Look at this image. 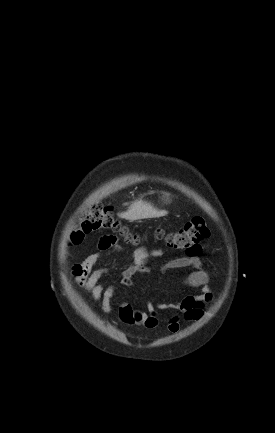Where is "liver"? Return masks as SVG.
I'll return each instance as SVG.
<instances>
[{
  "mask_svg": "<svg viewBox=\"0 0 275 433\" xmlns=\"http://www.w3.org/2000/svg\"><path fill=\"white\" fill-rule=\"evenodd\" d=\"M166 212L158 211L150 203L137 200L131 204L127 212L121 213L120 217L126 220L135 221L144 218H154L165 215Z\"/></svg>",
  "mask_w": 275,
  "mask_h": 433,
  "instance_id": "liver-1",
  "label": "liver"
}]
</instances>
